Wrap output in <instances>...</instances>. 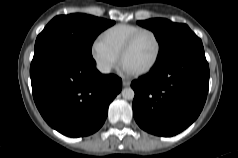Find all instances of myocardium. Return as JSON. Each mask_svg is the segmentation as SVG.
<instances>
[{
  "label": "myocardium",
  "instance_id": "f54148a6",
  "mask_svg": "<svg viewBox=\"0 0 238 158\" xmlns=\"http://www.w3.org/2000/svg\"><path fill=\"white\" fill-rule=\"evenodd\" d=\"M143 34H150L154 38L155 43H156V53H155L153 60L146 67H144L140 70H137V71H130L132 74H135V75H142V74H145V73H148L149 71H151L157 64V62L160 58V55H161V51H162V45H161V41H160L158 35L150 29H142V30L136 32L135 34H133L130 37V39L127 41L125 46L123 47V49L120 53V60H121V63L123 66H124L125 56L129 53V51L133 48V46L135 45L137 40Z\"/></svg>",
  "mask_w": 238,
  "mask_h": 158
}]
</instances>
